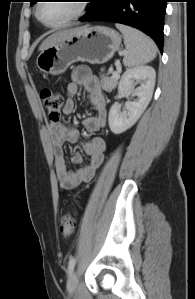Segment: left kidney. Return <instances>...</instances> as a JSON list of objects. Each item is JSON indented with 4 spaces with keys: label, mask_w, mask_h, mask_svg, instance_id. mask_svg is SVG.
I'll list each match as a JSON object with an SVG mask.
<instances>
[{
    "label": "left kidney",
    "mask_w": 195,
    "mask_h": 299,
    "mask_svg": "<svg viewBox=\"0 0 195 299\" xmlns=\"http://www.w3.org/2000/svg\"><path fill=\"white\" fill-rule=\"evenodd\" d=\"M156 72L151 66H139L128 69L122 75L118 91L123 94H132L137 99L128 101L125 109L117 103L112 105L109 111V127L114 134H121L131 128L141 117L151 101ZM134 81H139L140 86L134 88Z\"/></svg>",
    "instance_id": "left-kidney-1"
}]
</instances>
